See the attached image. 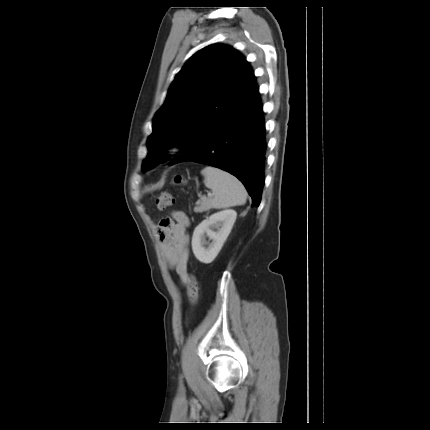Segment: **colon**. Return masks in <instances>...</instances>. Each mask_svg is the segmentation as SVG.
<instances>
[{
	"label": "colon",
	"mask_w": 430,
	"mask_h": 430,
	"mask_svg": "<svg viewBox=\"0 0 430 430\" xmlns=\"http://www.w3.org/2000/svg\"><path fill=\"white\" fill-rule=\"evenodd\" d=\"M174 183L177 185L184 183V178L182 176H176L174 178ZM174 197L169 192H162L156 198V206L159 210L163 211L170 208L174 203ZM198 281L196 277L191 274L189 275V283L187 287L188 300L191 308H194L198 302Z\"/></svg>",
	"instance_id": "5ec220e1"
}]
</instances>
